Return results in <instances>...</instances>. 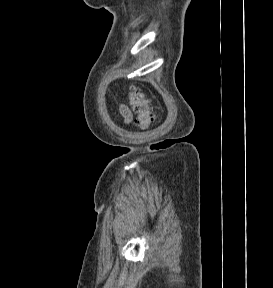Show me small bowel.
<instances>
[{
    "mask_svg": "<svg viewBox=\"0 0 273 288\" xmlns=\"http://www.w3.org/2000/svg\"><path fill=\"white\" fill-rule=\"evenodd\" d=\"M120 112H121L126 123H130L132 121V113L128 107L122 105L120 107Z\"/></svg>",
    "mask_w": 273,
    "mask_h": 288,
    "instance_id": "c3829d8e",
    "label": "small bowel"
}]
</instances>
